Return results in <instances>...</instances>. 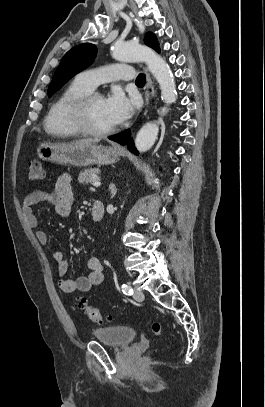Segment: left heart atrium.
<instances>
[{"mask_svg":"<svg viewBox=\"0 0 265 407\" xmlns=\"http://www.w3.org/2000/svg\"><path fill=\"white\" fill-rule=\"evenodd\" d=\"M106 111L113 123L119 125L128 120L137 106L135 97L127 98L121 91H114L104 99Z\"/></svg>","mask_w":265,"mask_h":407,"instance_id":"39dd6f15","label":"left heart atrium"}]
</instances>
